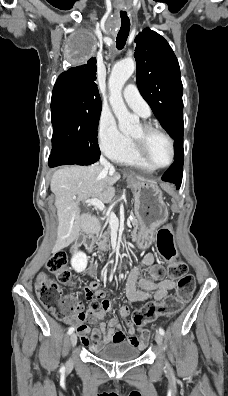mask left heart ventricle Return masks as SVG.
<instances>
[{"label":"left heart ventricle","instance_id":"1","mask_svg":"<svg viewBox=\"0 0 228 396\" xmlns=\"http://www.w3.org/2000/svg\"><path fill=\"white\" fill-rule=\"evenodd\" d=\"M130 135L145 142L147 156L154 165L161 166L169 161L171 150L165 137L158 133L145 134L141 125L137 126Z\"/></svg>","mask_w":228,"mask_h":396}]
</instances>
